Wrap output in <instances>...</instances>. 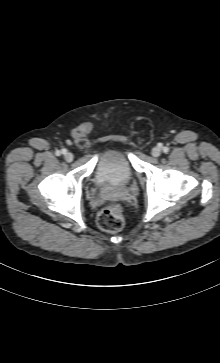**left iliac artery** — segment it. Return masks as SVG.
Here are the masks:
<instances>
[{"instance_id":"1","label":"left iliac artery","mask_w":220,"mask_h":363,"mask_svg":"<svg viewBox=\"0 0 220 363\" xmlns=\"http://www.w3.org/2000/svg\"><path fill=\"white\" fill-rule=\"evenodd\" d=\"M163 151H164L165 153H167V152L169 151V148H168V147H164V148H163Z\"/></svg>"}]
</instances>
